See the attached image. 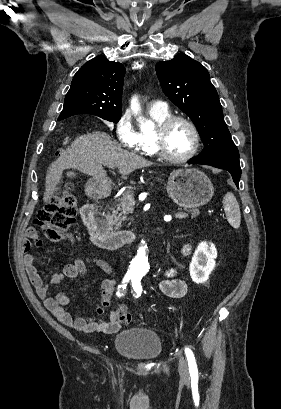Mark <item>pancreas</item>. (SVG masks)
Segmentation results:
<instances>
[{
	"mask_svg": "<svg viewBox=\"0 0 281 409\" xmlns=\"http://www.w3.org/2000/svg\"><path fill=\"white\" fill-rule=\"evenodd\" d=\"M131 193H134L133 190H129ZM127 197L122 194L121 198H117V202H120V205H116V209H112V219H113V223L112 225H115V229H119V227H121L122 225V221H127L125 215H128V213H131L130 209L133 208H125L124 207V200ZM119 211H121V213H119ZM192 217H197V215H199V211L198 209H192V213H191Z\"/></svg>",
	"mask_w": 281,
	"mask_h": 409,
	"instance_id": "cf45deb5",
	"label": "pancreas"
}]
</instances>
